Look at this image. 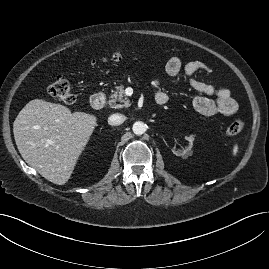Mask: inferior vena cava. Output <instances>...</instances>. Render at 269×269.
<instances>
[{"mask_svg":"<svg viewBox=\"0 0 269 269\" xmlns=\"http://www.w3.org/2000/svg\"><path fill=\"white\" fill-rule=\"evenodd\" d=\"M126 117L122 114H112L108 118V124L111 126H118L125 121Z\"/></svg>","mask_w":269,"mask_h":269,"instance_id":"602c4592","label":"inferior vena cava"}]
</instances>
